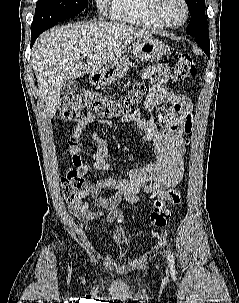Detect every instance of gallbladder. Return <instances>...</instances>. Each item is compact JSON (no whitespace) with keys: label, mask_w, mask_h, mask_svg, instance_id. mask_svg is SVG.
<instances>
[{"label":"gallbladder","mask_w":239,"mask_h":303,"mask_svg":"<svg viewBox=\"0 0 239 303\" xmlns=\"http://www.w3.org/2000/svg\"><path fill=\"white\" fill-rule=\"evenodd\" d=\"M78 89V82L76 79L64 80L61 85V93L63 95H69L74 93Z\"/></svg>","instance_id":"gallbladder-1"}]
</instances>
